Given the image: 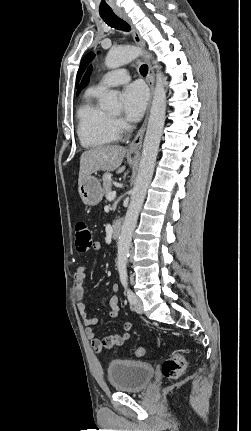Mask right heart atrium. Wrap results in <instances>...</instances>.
Here are the masks:
<instances>
[{"mask_svg": "<svg viewBox=\"0 0 251 431\" xmlns=\"http://www.w3.org/2000/svg\"><path fill=\"white\" fill-rule=\"evenodd\" d=\"M113 124L118 133L128 129V124L120 118L113 119Z\"/></svg>", "mask_w": 251, "mask_h": 431, "instance_id": "right-heart-atrium-1", "label": "right heart atrium"}]
</instances>
